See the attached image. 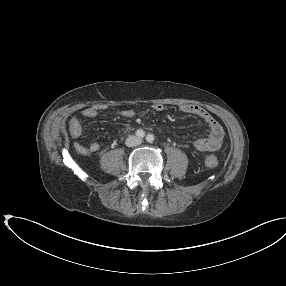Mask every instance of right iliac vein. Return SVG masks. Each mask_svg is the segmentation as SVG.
Returning a JSON list of instances; mask_svg holds the SVG:
<instances>
[{
	"mask_svg": "<svg viewBox=\"0 0 286 286\" xmlns=\"http://www.w3.org/2000/svg\"><path fill=\"white\" fill-rule=\"evenodd\" d=\"M135 142H136V138L134 136H130L126 140V145L130 147V146H133Z\"/></svg>",
	"mask_w": 286,
	"mask_h": 286,
	"instance_id": "right-iliac-vein-1",
	"label": "right iliac vein"
}]
</instances>
